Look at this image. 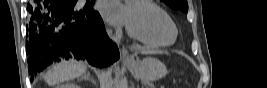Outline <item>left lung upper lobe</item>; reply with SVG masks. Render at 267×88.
Masks as SVG:
<instances>
[{
  "label": "left lung upper lobe",
  "instance_id": "left-lung-upper-lobe-1",
  "mask_svg": "<svg viewBox=\"0 0 267 88\" xmlns=\"http://www.w3.org/2000/svg\"><path fill=\"white\" fill-rule=\"evenodd\" d=\"M173 9H179L184 12L188 10V4L186 0H162Z\"/></svg>",
  "mask_w": 267,
  "mask_h": 88
}]
</instances>
